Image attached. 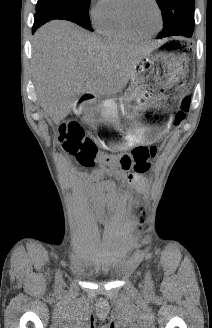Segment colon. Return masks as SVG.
<instances>
[{
    "instance_id": "5ec220e1",
    "label": "colon",
    "mask_w": 212,
    "mask_h": 328,
    "mask_svg": "<svg viewBox=\"0 0 212 328\" xmlns=\"http://www.w3.org/2000/svg\"><path fill=\"white\" fill-rule=\"evenodd\" d=\"M191 98L186 96L181 103V110L176 114L175 125H179L189 111ZM58 141L63 148L84 167H93L98 173H112V170H134L142 173L149 168V160L157 154L158 148L139 146L130 153L103 152L98 142L85 133L77 121H70L59 127Z\"/></svg>"
}]
</instances>
